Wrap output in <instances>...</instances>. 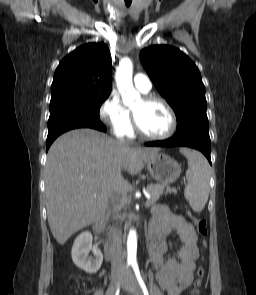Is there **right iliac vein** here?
Instances as JSON below:
<instances>
[{"mask_svg": "<svg viewBox=\"0 0 256 295\" xmlns=\"http://www.w3.org/2000/svg\"><path fill=\"white\" fill-rule=\"evenodd\" d=\"M121 274L120 273H116L114 275H112L111 277V283L107 292V295H114L115 291H116V287L118 284V281L120 279Z\"/></svg>", "mask_w": 256, "mask_h": 295, "instance_id": "obj_1", "label": "right iliac vein"}]
</instances>
